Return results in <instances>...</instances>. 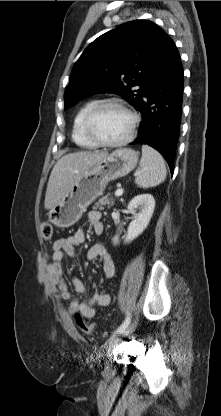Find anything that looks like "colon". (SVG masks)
I'll return each mask as SVG.
<instances>
[{"instance_id": "obj_1", "label": "colon", "mask_w": 221, "mask_h": 416, "mask_svg": "<svg viewBox=\"0 0 221 416\" xmlns=\"http://www.w3.org/2000/svg\"><path fill=\"white\" fill-rule=\"evenodd\" d=\"M41 233L44 240L49 241L53 236V227L50 223L45 222L41 227ZM77 324L79 327L87 334H92L94 332V327L86 323L80 316L79 313L75 314Z\"/></svg>"}]
</instances>
